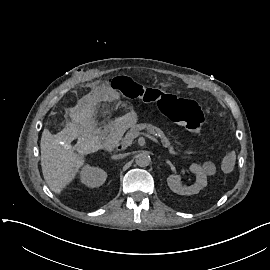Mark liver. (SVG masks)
Returning <instances> with one entry per match:
<instances>
[{"mask_svg": "<svg viewBox=\"0 0 270 270\" xmlns=\"http://www.w3.org/2000/svg\"><path fill=\"white\" fill-rule=\"evenodd\" d=\"M41 169L48 187L60 195L85 165V155L91 148L83 143L73 147L62 144L49 130L44 129L40 140Z\"/></svg>", "mask_w": 270, "mask_h": 270, "instance_id": "obj_1", "label": "liver"}]
</instances>
